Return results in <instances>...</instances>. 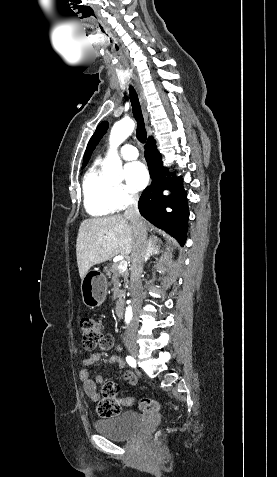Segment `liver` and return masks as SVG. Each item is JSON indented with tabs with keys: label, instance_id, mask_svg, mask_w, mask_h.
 <instances>
[{
	"label": "liver",
	"instance_id": "6515ba94",
	"mask_svg": "<svg viewBox=\"0 0 277 477\" xmlns=\"http://www.w3.org/2000/svg\"><path fill=\"white\" fill-rule=\"evenodd\" d=\"M147 231L149 224L145 221ZM135 239L131 220L117 214L82 221L76 241V256L81 279L89 269L121 254L129 255Z\"/></svg>",
	"mask_w": 277,
	"mask_h": 477
}]
</instances>
